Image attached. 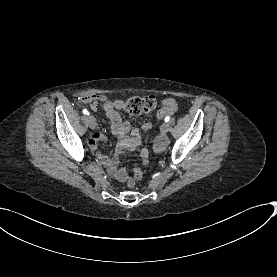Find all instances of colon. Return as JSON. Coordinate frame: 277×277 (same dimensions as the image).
Wrapping results in <instances>:
<instances>
[{"instance_id":"5ec220e1","label":"colon","mask_w":277,"mask_h":277,"mask_svg":"<svg viewBox=\"0 0 277 277\" xmlns=\"http://www.w3.org/2000/svg\"><path fill=\"white\" fill-rule=\"evenodd\" d=\"M157 101L154 96L146 95L144 97H131L123 102V110L139 115L141 113H148L155 109ZM143 175L140 169L135 168L134 174L128 180V186L134 187L136 182L142 179Z\"/></svg>"}]
</instances>
